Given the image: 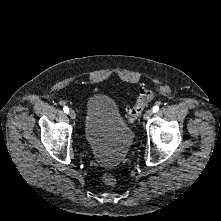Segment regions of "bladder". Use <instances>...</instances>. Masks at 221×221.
<instances>
[{"instance_id": "obj_1", "label": "bladder", "mask_w": 221, "mask_h": 221, "mask_svg": "<svg viewBox=\"0 0 221 221\" xmlns=\"http://www.w3.org/2000/svg\"><path fill=\"white\" fill-rule=\"evenodd\" d=\"M84 136L96 161L105 167L117 166L133 143V130L116 101L100 93L87 99Z\"/></svg>"}]
</instances>
